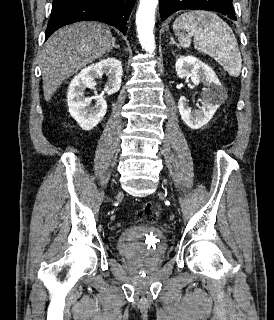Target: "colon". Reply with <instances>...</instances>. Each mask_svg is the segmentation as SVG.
<instances>
[{
	"instance_id": "obj_1",
	"label": "colon",
	"mask_w": 274,
	"mask_h": 320,
	"mask_svg": "<svg viewBox=\"0 0 274 320\" xmlns=\"http://www.w3.org/2000/svg\"><path fill=\"white\" fill-rule=\"evenodd\" d=\"M160 215L158 203L154 201L145 202L135 213V219L139 224L151 225L155 223Z\"/></svg>"
}]
</instances>
